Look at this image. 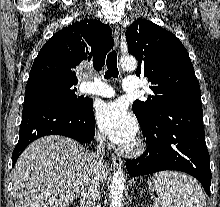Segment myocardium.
I'll return each mask as SVG.
<instances>
[{"mask_svg":"<svg viewBox=\"0 0 220 207\" xmlns=\"http://www.w3.org/2000/svg\"><path fill=\"white\" fill-rule=\"evenodd\" d=\"M146 149V143L143 139L138 138L132 144L122 149V153L126 156L136 157L141 155Z\"/></svg>","mask_w":220,"mask_h":207,"instance_id":"myocardium-1","label":"myocardium"}]
</instances>
